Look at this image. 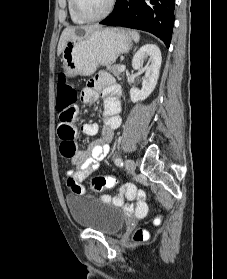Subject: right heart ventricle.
<instances>
[{"mask_svg":"<svg viewBox=\"0 0 227 279\" xmlns=\"http://www.w3.org/2000/svg\"><path fill=\"white\" fill-rule=\"evenodd\" d=\"M67 9H68L70 19L73 23L83 24L85 22V21L81 20L80 18H78L76 16V14L74 13L73 6H72V0H67Z\"/></svg>","mask_w":227,"mask_h":279,"instance_id":"e07e8e85","label":"right heart ventricle"}]
</instances>
